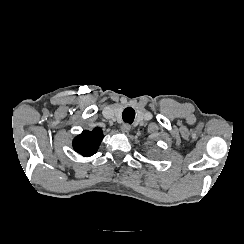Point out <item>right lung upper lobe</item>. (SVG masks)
I'll return each mask as SVG.
<instances>
[{"label": "right lung upper lobe", "instance_id": "right-lung-upper-lobe-1", "mask_svg": "<svg viewBox=\"0 0 244 244\" xmlns=\"http://www.w3.org/2000/svg\"><path fill=\"white\" fill-rule=\"evenodd\" d=\"M103 139L102 130L98 127L92 131H83L73 140V148L79 154L90 157L95 154Z\"/></svg>", "mask_w": 244, "mask_h": 244}]
</instances>
